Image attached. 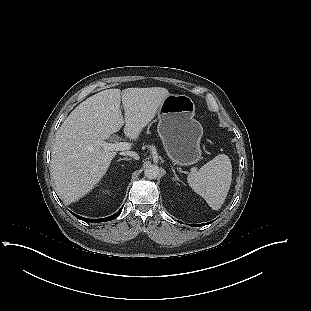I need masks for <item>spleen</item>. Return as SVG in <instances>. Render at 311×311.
I'll use <instances>...</instances> for the list:
<instances>
[{
  "instance_id": "spleen-1",
  "label": "spleen",
  "mask_w": 311,
  "mask_h": 311,
  "mask_svg": "<svg viewBox=\"0 0 311 311\" xmlns=\"http://www.w3.org/2000/svg\"><path fill=\"white\" fill-rule=\"evenodd\" d=\"M187 181L194 192L202 196L213 210L220 209L232 181L229 157L225 154L217 155L198 171L191 172Z\"/></svg>"
}]
</instances>
